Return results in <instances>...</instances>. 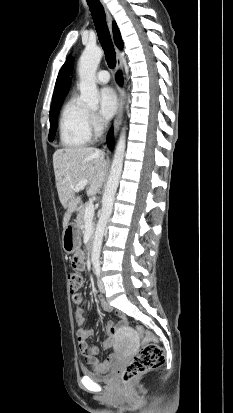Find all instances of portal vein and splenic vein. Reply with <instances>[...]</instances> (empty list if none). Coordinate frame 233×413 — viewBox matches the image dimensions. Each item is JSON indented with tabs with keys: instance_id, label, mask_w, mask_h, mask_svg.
<instances>
[{
	"instance_id": "18ae733b",
	"label": "portal vein and splenic vein",
	"mask_w": 233,
	"mask_h": 413,
	"mask_svg": "<svg viewBox=\"0 0 233 413\" xmlns=\"http://www.w3.org/2000/svg\"><path fill=\"white\" fill-rule=\"evenodd\" d=\"M88 184V180H82L80 181L75 187H74V191L75 192H79L80 190H82L86 185ZM94 216V205L90 204L86 210H85V220L93 218Z\"/></svg>"
}]
</instances>
